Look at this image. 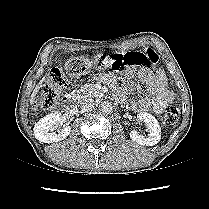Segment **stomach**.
<instances>
[{
  "instance_id": "obj_1",
  "label": "stomach",
  "mask_w": 209,
  "mask_h": 209,
  "mask_svg": "<svg viewBox=\"0 0 209 209\" xmlns=\"http://www.w3.org/2000/svg\"><path fill=\"white\" fill-rule=\"evenodd\" d=\"M95 64L92 59L88 57L70 58L66 60L62 66V71L65 76L69 78L74 77H88L93 74Z\"/></svg>"
}]
</instances>
